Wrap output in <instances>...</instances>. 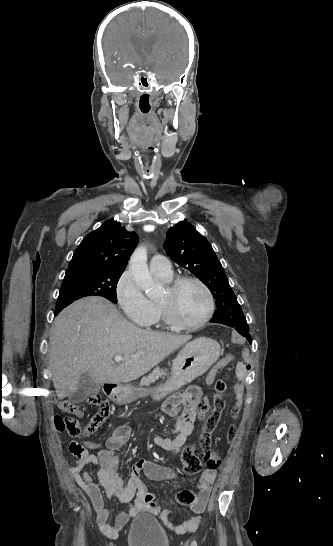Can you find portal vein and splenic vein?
I'll return each instance as SVG.
<instances>
[{
  "label": "portal vein and splenic vein",
  "mask_w": 333,
  "mask_h": 546,
  "mask_svg": "<svg viewBox=\"0 0 333 546\" xmlns=\"http://www.w3.org/2000/svg\"><path fill=\"white\" fill-rule=\"evenodd\" d=\"M123 360H124V358H123L121 355H116V356L114 357V361H115L116 363H120V362H122Z\"/></svg>",
  "instance_id": "1"
}]
</instances>
